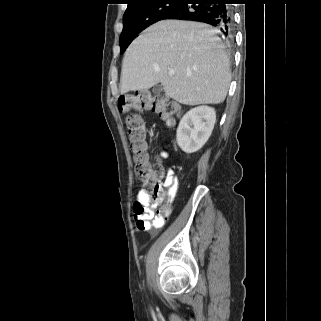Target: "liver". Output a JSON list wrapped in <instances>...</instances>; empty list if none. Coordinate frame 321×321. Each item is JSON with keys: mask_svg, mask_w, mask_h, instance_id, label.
Instances as JSON below:
<instances>
[{"mask_svg": "<svg viewBox=\"0 0 321 321\" xmlns=\"http://www.w3.org/2000/svg\"><path fill=\"white\" fill-rule=\"evenodd\" d=\"M217 30L202 23L162 20L148 27L123 58L121 94L161 83L184 105L219 104L231 81L229 59ZM174 70V75L169 71Z\"/></svg>", "mask_w": 321, "mask_h": 321, "instance_id": "liver-1", "label": "liver"}]
</instances>
